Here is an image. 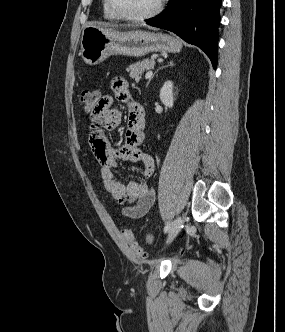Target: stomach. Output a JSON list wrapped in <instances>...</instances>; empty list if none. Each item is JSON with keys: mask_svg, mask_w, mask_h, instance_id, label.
<instances>
[{"mask_svg": "<svg viewBox=\"0 0 285 332\" xmlns=\"http://www.w3.org/2000/svg\"><path fill=\"white\" fill-rule=\"evenodd\" d=\"M182 44L163 33L119 32L99 25L83 29L80 55L87 65H97L111 55L141 57L152 52H179Z\"/></svg>", "mask_w": 285, "mask_h": 332, "instance_id": "0dacf381", "label": "stomach"}]
</instances>
